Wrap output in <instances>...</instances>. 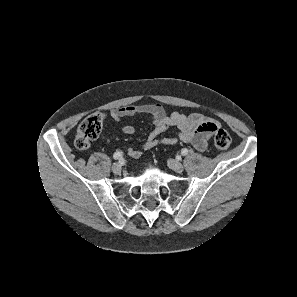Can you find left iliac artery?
I'll list each match as a JSON object with an SVG mask.
<instances>
[{"label":"left iliac artery","mask_w":297,"mask_h":297,"mask_svg":"<svg viewBox=\"0 0 297 297\" xmlns=\"http://www.w3.org/2000/svg\"><path fill=\"white\" fill-rule=\"evenodd\" d=\"M188 153H189V151H188V149H186V148H184V149L181 150V154H182L183 156H186Z\"/></svg>","instance_id":"left-iliac-artery-1"}]
</instances>
